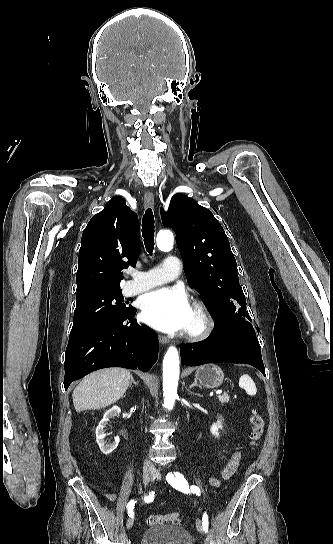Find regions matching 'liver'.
<instances>
[{
	"mask_svg": "<svg viewBox=\"0 0 333 544\" xmlns=\"http://www.w3.org/2000/svg\"><path fill=\"white\" fill-rule=\"evenodd\" d=\"M131 376L128 370L107 368L84 377L72 394L75 410L100 409L116 402L125 394Z\"/></svg>",
	"mask_w": 333,
	"mask_h": 544,
	"instance_id": "obj_1",
	"label": "liver"
}]
</instances>
